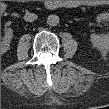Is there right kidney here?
I'll return each mask as SVG.
<instances>
[{"mask_svg": "<svg viewBox=\"0 0 109 109\" xmlns=\"http://www.w3.org/2000/svg\"><path fill=\"white\" fill-rule=\"evenodd\" d=\"M12 37H13V30L11 28L6 29L5 35L1 39V52L2 53H5L9 49Z\"/></svg>", "mask_w": 109, "mask_h": 109, "instance_id": "right-kidney-1", "label": "right kidney"}]
</instances>
